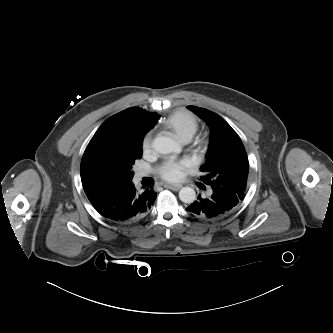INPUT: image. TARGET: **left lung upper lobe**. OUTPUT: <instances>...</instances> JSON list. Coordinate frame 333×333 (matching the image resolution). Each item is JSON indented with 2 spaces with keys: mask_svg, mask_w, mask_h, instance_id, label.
<instances>
[{
  "mask_svg": "<svg viewBox=\"0 0 333 333\" xmlns=\"http://www.w3.org/2000/svg\"><path fill=\"white\" fill-rule=\"evenodd\" d=\"M189 110L203 119L210 127L211 137L201 180L210 187L220 186L231 190L240 200L247 187L249 163L243 143L231 126L216 113L188 106Z\"/></svg>",
  "mask_w": 333,
  "mask_h": 333,
  "instance_id": "1",
  "label": "left lung upper lobe"
}]
</instances>
